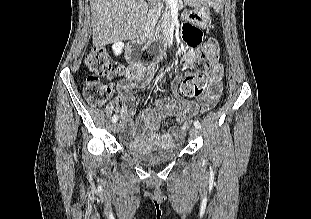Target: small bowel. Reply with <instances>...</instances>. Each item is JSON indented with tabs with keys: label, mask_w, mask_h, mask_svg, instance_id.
<instances>
[{
	"label": "small bowel",
	"mask_w": 311,
	"mask_h": 219,
	"mask_svg": "<svg viewBox=\"0 0 311 219\" xmlns=\"http://www.w3.org/2000/svg\"><path fill=\"white\" fill-rule=\"evenodd\" d=\"M183 41L187 49L181 63L184 67H188L193 63L197 45L192 44L185 37ZM154 75L155 69L151 66L145 67L141 62L131 63L126 69L125 81L118 85L120 105L116 107L121 115V136L126 140L138 138L155 144L170 145L184 138L191 118L200 109H208L216 104L222 91V69L210 73V86L197 101L189 100L186 94H182L181 75L177 74L172 80L175 97L154 99L152 105L141 110L138 118L134 120L133 115L137 106L132 94L133 87H147ZM168 120H172L175 125L168 132L159 133L157 131L159 126Z\"/></svg>",
	"instance_id": "obj_1"
}]
</instances>
